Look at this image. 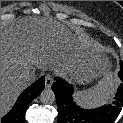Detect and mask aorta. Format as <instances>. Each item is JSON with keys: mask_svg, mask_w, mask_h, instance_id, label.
<instances>
[{"mask_svg": "<svg viewBox=\"0 0 123 123\" xmlns=\"http://www.w3.org/2000/svg\"><path fill=\"white\" fill-rule=\"evenodd\" d=\"M40 100L43 104H52L55 102L56 97L51 89H45L40 94Z\"/></svg>", "mask_w": 123, "mask_h": 123, "instance_id": "1", "label": "aorta"}]
</instances>
